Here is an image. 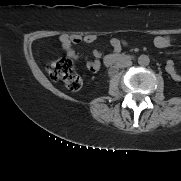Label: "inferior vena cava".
Returning <instances> with one entry per match:
<instances>
[{"mask_svg": "<svg viewBox=\"0 0 181 181\" xmlns=\"http://www.w3.org/2000/svg\"><path fill=\"white\" fill-rule=\"evenodd\" d=\"M132 65V61L126 60L122 64L119 65L121 68L130 67Z\"/></svg>", "mask_w": 181, "mask_h": 181, "instance_id": "obj_1", "label": "inferior vena cava"}]
</instances>
